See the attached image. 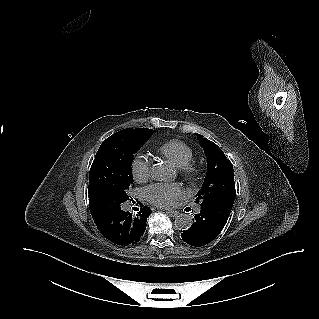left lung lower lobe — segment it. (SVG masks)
Returning a JSON list of instances; mask_svg holds the SVG:
<instances>
[{"label": "left lung lower lobe", "mask_w": 319, "mask_h": 319, "mask_svg": "<svg viewBox=\"0 0 319 319\" xmlns=\"http://www.w3.org/2000/svg\"><path fill=\"white\" fill-rule=\"evenodd\" d=\"M234 199H219L201 204L192 226L181 234L184 242L192 246H203L213 241L224 228Z\"/></svg>", "instance_id": "obj_1"}]
</instances>
